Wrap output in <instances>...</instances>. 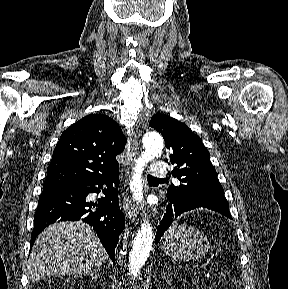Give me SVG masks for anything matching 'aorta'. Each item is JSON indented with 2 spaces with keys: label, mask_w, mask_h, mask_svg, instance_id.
<instances>
[{
  "label": "aorta",
  "mask_w": 288,
  "mask_h": 289,
  "mask_svg": "<svg viewBox=\"0 0 288 289\" xmlns=\"http://www.w3.org/2000/svg\"><path fill=\"white\" fill-rule=\"evenodd\" d=\"M145 151L136 159L134 173L130 181V190L133 198L138 203L143 202L142 172L148 162L158 157L163 150V139L156 133H149L144 138ZM153 245V231L150 223L144 219L141 228L135 237L133 247L129 255V274L135 279L142 266L147 261Z\"/></svg>",
  "instance_id": "aorta-1"
}]
</instances>
